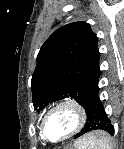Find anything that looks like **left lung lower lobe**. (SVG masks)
Returning a JSON list of instances; mask_svg holds the SVG:
<instances>
[{
  "instance_id": "1",
  "label": "left lung lower lobe",
  "mask_w": 124,
  "mask_h": 149,
  "mask_svg": "<svg viewBox=\"0 0 124 149\" xmlns=\"http://www.w3.org/2000/svg\"><path fill=\"white\" fill-rule=\"evenodd\" d=\"M87 122L82 131L75 136V139L81 135L94 131L102 130L109 134H114V126L103 108L102 102L98 98V90L87 100Z\"/></svg>"
}]
</instances>
